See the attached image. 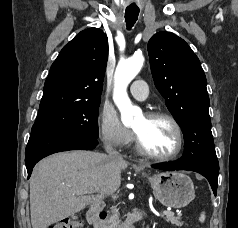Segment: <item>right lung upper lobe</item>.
<instances>
[{
  "label": "right lung upper lobe",
  "mask_w": 238,
  "mask_h": 228,
  "mask_svg": "<svg viewBox=\"0 0 238 228\" xmlns=\"http://www.w3.org/2000/svg\"><path fill=\"white\" fill-rule=\"evenodd\" d=\"M108 38L98 28L78 33L50 68L37 116L85 102H100Z\"/></svg>",
  "instance_id": "obj_1"
}]
</instances>
